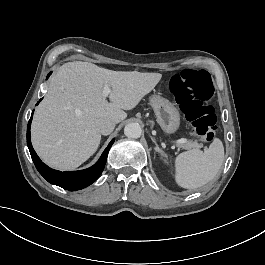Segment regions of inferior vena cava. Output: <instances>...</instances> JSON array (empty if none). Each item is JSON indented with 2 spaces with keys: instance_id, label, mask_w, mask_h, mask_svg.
<instances>
[{
  "instance_id": "602c4592",
  "label": "inferior vena cava",
  "mask_w": 265,
  "mask_h": 265,
  "mask_svg": "<svg viewBox=\"0 0 265 265\" xmlns=\"http://www.w3.org/2000/svg\"><path fill=\"white\" fill-rule=\"evenodd\" d=\"M96 126L102 135H109L115 128V122L110 119H98Z\"/></svg>"
}]
</instances>
